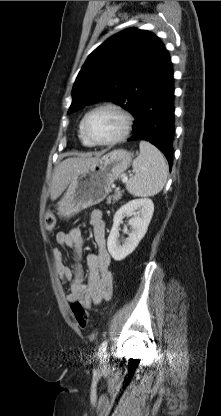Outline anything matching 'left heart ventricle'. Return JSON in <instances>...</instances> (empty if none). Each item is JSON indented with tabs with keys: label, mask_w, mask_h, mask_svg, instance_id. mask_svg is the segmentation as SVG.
<instances>
[{
	"label": "left heart ventricle",
	"mask_w": 221,
	"mask_h": 416,
	"mask_svg": "<svg viewBox=\"0 0 221 416\" xmlns=\"http://www.w3.org/2000/svg\"><path fill=\"white\" fill-rule=\"evenodd\" d=\"M122 128V119L114 111L104 109L93 113L86 124L88 135L97 141H105L117 136Z\"/></svg>",
	"instance_id": "b2bd125f"
}]
</instances>
